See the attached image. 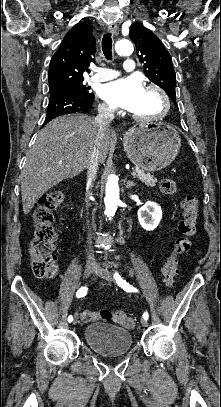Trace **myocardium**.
Returning a JSON list of instances; mask_svg holds the SVG:
<instances>
[{
  "label": "myocardium",
  "instance_id": "f54148a6",
  "mask_svg": "<svg viewBox=\"0 0 221 407\" xmlns=\"http://www.w3.org/2000/svg\"><path fill=\"white\" fill-rule=\"evenodd\" d=\"M145 90L155 91L159 95L162 109L157 115L154 116H139L131 113L132 118L139 122H155L163 119L170 109V98L167 92L161 86L154 83L146 85Z\"/></svg>",
  "mask_w": 221,
  "mask_h": 407
}]
</instances>
